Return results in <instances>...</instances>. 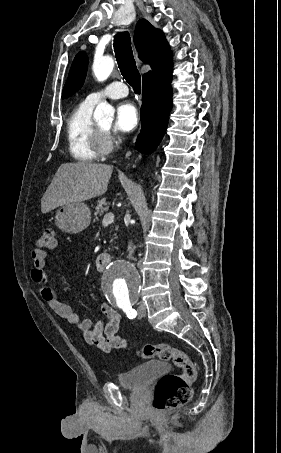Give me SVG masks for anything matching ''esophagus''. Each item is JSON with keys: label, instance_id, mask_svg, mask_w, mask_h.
Returning <instances> with one entry per match:
<instances>
[{"label": "esophagus", "instance_id": "34e87169", "mask_svg": "<svg viewBox=\"0 0 281 453\" xmlns=\"http://www.w3.org/2000/svg\"><path fill=\"white\" fill-rule=\"evenodd\" d=\"M135 57H136V60H137L138 64L140 65V64H141V61H140L139 58H138L137 52H135Z\"/></svg>", "mask_w": 281, "mask_h": 453}]
</instances>
